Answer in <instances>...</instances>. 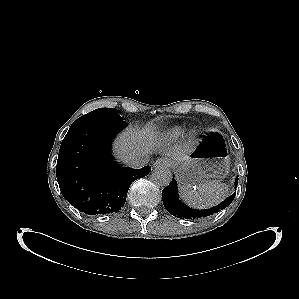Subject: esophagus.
Wrapping results in <instances>:
<instances>
[{
	"label": "esophagus",
	"mask_w": 299,
	"mask_h": 299,
	"mask_svg": "<svg viewBox=\"0 0 299 299\" xmlns=\"http://www.w3.org/2000/svg\"><path fill=\"white\" fill-rule=\"evenodd\" d=\"M170 164H171V161L169 159L160 158L154 162V167H160V166L168 167V166H170Z\"/></svg>",
	"instance_id": "obj_1"
}]
</instances>
